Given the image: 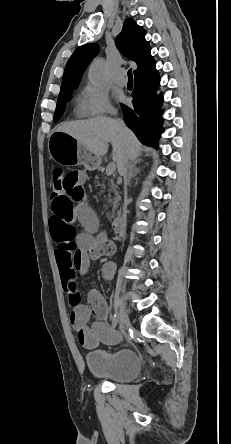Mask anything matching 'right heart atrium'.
<instances>
[{
  "label": "right heart atrium",
  "instance_id": "obj_1",
  "mask_svg": "<svg viewBox=\"0 0 231 444\" xmlns=\"http://www.w3.org/2000/svg\"><path fill=\"white\" fill-rule=\"evenodd\" d=\"M77 111L84 117H96L112 114L114 109L108 94L104 90L89 84L84 86L79 94Z\"/></svg>",
  "mask_w": 231,
  "mask_h": 444
}]
</instances>
